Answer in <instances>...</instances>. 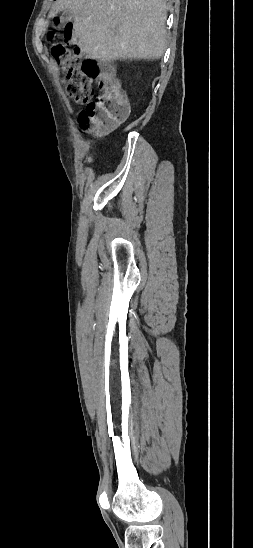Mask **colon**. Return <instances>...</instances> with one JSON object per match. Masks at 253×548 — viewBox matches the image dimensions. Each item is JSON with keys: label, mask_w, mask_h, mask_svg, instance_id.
<instances>
[{"label": "colon", "mask_w": 253, "mask_h": 548, "mask_svg": "<svg viewBox=\"0 0 253 548\" xmlns=\"http://www.w3.org/2000/svg\"><path fill=\"white\" fill-rule=\"evenodd\" d=\"M51 54L65 71L67 95L85 105L79 115L84 129L104 133L126 119L127 98L110 67L102 69L96 60L82 58L78 50L71 51L61 43L52 46Z\"/></svg>", "instance_id": "1"}]
</instances>
